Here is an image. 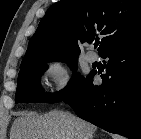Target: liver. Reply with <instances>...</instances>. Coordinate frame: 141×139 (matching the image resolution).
<instances>
[{
  "mask_svg": "<svg viewBox=\"0 0 141 139\" xmlns=\"http://www.w3.org/2000/svg\"><path fill=\"white\" fill-rule=\"evenodd\" d=\"M96 129L69 112H21L13 122L10 139H92Z\"/></svg>",
  "mask_w": 141,
  "mask_h": 139,
  "instance_id": "6515ba94",
  "label": "liver"
}]
</instances>
